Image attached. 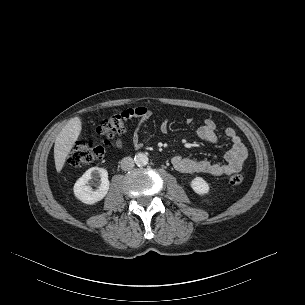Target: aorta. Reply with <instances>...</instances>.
<instances>
[{"instance_id":"obj_1","label":"aorta","mask_w":305,"mask_h":305,"mask_svg":"<svg viewBox=\"0 0 305 305\" xmlns=\"http://www.w3.org/2000/svg\"><path fill=\"white\" fill-rule=\"evenodd\" d=\"M134 161L138 166H145L148 163V156L146 153L139 152L135 155Z\"/></svg>"}]
</instances>
